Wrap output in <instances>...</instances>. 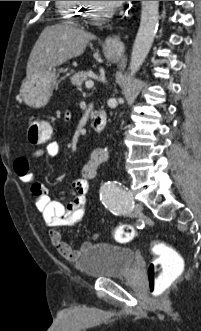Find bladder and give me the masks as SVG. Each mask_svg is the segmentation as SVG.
Instances as JSON below:
<instances>
[{"label": "bladder", "instance_id": "bladder-1", "mask_svg": "<svg viewBox=\"0 0 201 331\" xmlns=\"http://www.w3.org/2000/svg\"><path fill=\"white\" fill-rule=\"evenodd\" d=\"M135 260L133 249L114 243H97L75 262L76 269L91 279H114L127 274Z\"/></svg>", "mask_w": 201, "mask_h": 331}]
</instances>
